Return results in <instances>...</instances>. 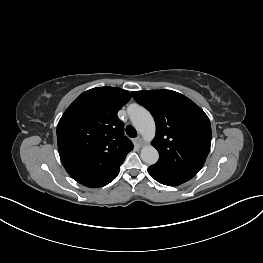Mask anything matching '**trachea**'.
Returning <instances> with one entry per match:
<instances>
[{"label":"trachea","mask_w":263,"mask_h":263,"mask_svg":"<svg viewBox=\"0 0 263 263\" xmlns=\"http://www.w3.org/2000/svg\"><path fill=\"white\" fill-rule=\"evenodd\" d=\"M126 133L129 137L134 138L137 136V131L132 125L126 127Z\"/></svg>","instance_id":"3493384b"}]
</instances>
